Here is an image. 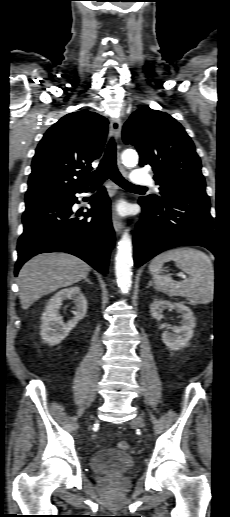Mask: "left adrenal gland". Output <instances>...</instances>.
Listing matches in <instances>:
<instances>
[{
    "mask_svg": "<svg viewBox=\"0 0 230 517\" xmlns=\"http://www.w3.org/2000/svg\"><path fill=\"white\" fill-rule=\"evenodd\" d=\"M151 286H153V285H152V282H149V284H148L147 288H149V287H151Z\"/></svg>",
    "mask_w": 230,
    "mask_h": 517,
    "instance_id": "a2214340",
    "label": "left adrenal gland"
}]
</instances>
